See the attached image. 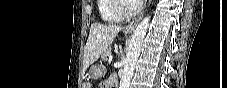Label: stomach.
<instances>
[{"instance_id": "0dacf381", "label": "stomach", "mask_w": 227, "mask_h": 88, "mask_svg": "<svg viewBox=\"0 0 227 88\" xmlns=\"http://www.w3.org/2000/svg\"><path fill=\"white\" fill-rule=\"evenodd\" d=\"M105 69L103 65H93L89 71V77L91 79H99L104 74Z\"/></svg>"}]
</instances>
